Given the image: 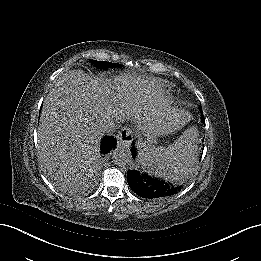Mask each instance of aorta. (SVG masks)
<instances>
[{
	"label": "aorta",
	"mask_w": 261,
	"mask_h": 261,
	"mask_svg": "<svg viewBox=\"0 0 261 261\" xmlns=\"http://www.w3.org/2000/svg\"><path fill=\"white\" fill-rule=\"evenodd\" d=\"M112 158L115 164L119 166H131L132 164V160L129 153H127L121 147L115 149Z\"/></svg>",
	"instance_id": "obj_1"
}]
</instances>
